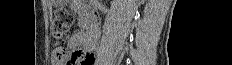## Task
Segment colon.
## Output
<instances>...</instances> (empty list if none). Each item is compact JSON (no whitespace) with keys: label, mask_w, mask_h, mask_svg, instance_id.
<instances>
[{"label":"colon","mask_w":232,"mask_h":65,"mask_svg":"<svg viewBox=\"0 0 232 65\" xmlns=\"http://www.w3.org/2000/svg\"><path fill=\"white\" fill-rule=\"evenodd\" d=\"M74 23L73 15L65 9H59L53 20V36L59 43L55 52L57 61L64 65H93L94 55L83 50L68 51L61 46L63 39Z\"/></svg>","instance_id":"obj_1"}]
</instances>
